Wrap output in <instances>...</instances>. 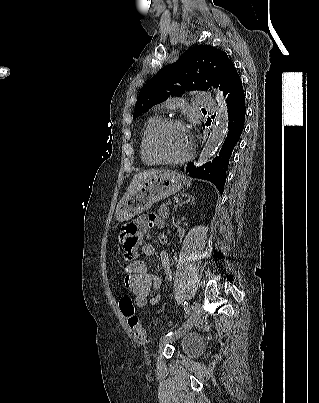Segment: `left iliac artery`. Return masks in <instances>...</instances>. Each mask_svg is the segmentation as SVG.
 Listing matches in <instances>:
<instances>
[{
    "instance_id": "obj_1",
    "label": "left iliac artery",
    "mask_w": 319,
    "mask_h": 403,
    "mask_svg": "<svg viewBox=\"0 0 319 403\" xmlns=\"http://www.w3.org/2000/svg\"><path fill=\"white\" fill-rule=\"evenodd\" d=\"M184 310H185V312H186V314H188L189 315V305H188V303L185 301L184 302ZM186 325V323L183 325V327ZM173 334V332H168L165 336H169V335H172Z\"/></svg>"
}]
</instances>
